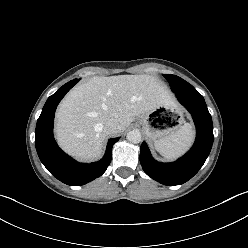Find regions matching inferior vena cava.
<instances>
[{"label": "inferior vena cava", "mask_w": 248, "mask_h": 248, "mask_svg": "<svg viewBox=\"0 0 248 248\" xmlns=\"http://www.w3.org/2000/svg\"><path fill=\"white\" fill-rule=\"evenodd\" d=\"M104 130L108 135L117 134L119 132V124L117 120H108L104 125Z\"/></svg>", "instance_id": "1"}]
</instances>
